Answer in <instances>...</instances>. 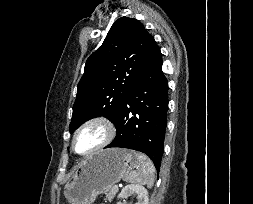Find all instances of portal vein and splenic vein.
<instances>
[{
	"label": "portal vein and splenic vein",
	"mask_w": 253,
	"mask_h": 204,
	"mask_svg": "<svg viewBox=\"0 0 253 204\" xmlns=\"http://www.w3.org/2000/svg\"><path fill=\"white\" fill-rule=\"evenodd\" d=\"M114 188H115V189H118V186H117V185H114Z\"/></svg>",
	"instance_id": "18ae733b"
}]
</instances>
